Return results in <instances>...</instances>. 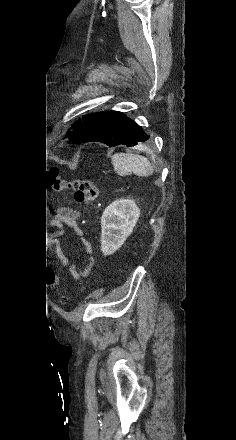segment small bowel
I'll list each match as a JSON object with an SVG mask.
<instances>
[{
	"instance_id": "c3829d8e",
	"label": "small bowel",
	"mask_w": 236,
	"mask_h": 440,
	"mask_svg": "<svg viewBox=\"0 0 236 440\" xmlns=\"http://www.w3.org/2000/svg\"><path fill=\"white\" fill-rule=\"evenodd\" d=\"M78 217L79 213L77 211L66 209L55 216L54 219L51 221L52 225L57 229V234H60L63 225H66L73 229L75 235L80 238L86 256L82 267H78L76 265H72L70 267V273L72 277L76 280L87 277L94 268V260L91 256L92 247L87 240L82 238V230L78 224ZM60 259L62 264L66 266L67 259L64 256H61Z\"/></svg>"
}]
</instances>
